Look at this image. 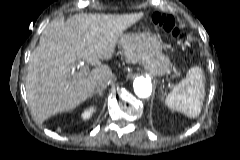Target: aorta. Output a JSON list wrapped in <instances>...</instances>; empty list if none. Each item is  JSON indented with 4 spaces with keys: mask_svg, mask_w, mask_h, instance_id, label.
I'll return each instance as SVG.
<instances>
[{
    "mask_svg": "<svg viewBox=\"0 0 240 160\" xmlns=\"http://www.w3.org/2000/svg\"><path fill=\"white\" fill-rule=\"evenodd\" d=\"M133 89L139 98L146 99L152 93V84L144 77H137L133 82Z\"/></svg>",
    "mask_w": 240,
    "mask_h": 160,
    "instance_id": "obj_1",
    "label": "aorta"
}]
</instances>
